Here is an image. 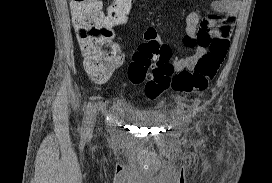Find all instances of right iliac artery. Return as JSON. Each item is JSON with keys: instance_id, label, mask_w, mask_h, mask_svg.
Segmentation results:
<instances>
[{"instance_id": "obj_1", "label": "right iliac artery", "mask_w": 272, "mask_h": 183, "mask_svg": "<svg viewBox=\"0 0 272 183\" xmlns=\"http://www.w3.org/2000/svg\"><path fill=\"white\" fill-rule=\"evenodd\" d=\"M92 109H93V105L90 102V103H88L87 109H86L85 114H84L83 126H82V132L83 133H85L88 130Z\"/></svg>"}]
</instances>
